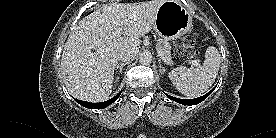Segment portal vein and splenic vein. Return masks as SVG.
Listing matches in <instances>:
<instances>
[{
    "mask_svg": "<svg viewBox=\"0 0 276 138\" xmlns=\"http://www.w3.org/2000/svg\"><path fill=\"white\" fill-rule=\"evenodd\" d=\"M122 33V28L121 27H117L115 29V31L113 32V35L116 36V37H119ZM157 53H158V56L166 63V64H172V62H170L163 54V52L159 49H157ZM192 65L194 66H197L198 65V62L196 60H192L190 62Z\"/></svg>",
    "mask_w": 276,
    "mask_h": 138,
    "instance_id": "obj_1",
    "label": "portal vein and splenic vein"
}]
</instances>
